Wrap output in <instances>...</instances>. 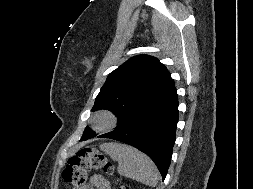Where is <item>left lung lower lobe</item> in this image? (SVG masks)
<instances>
[{"instance_id": "left-lung-lower-lobe-1", "label": "left lung lower lobe", "mask_w": 253, "mask_h": 189, "mask_svg": "<svg viewBox=\"0 0 253 189\" xmlns=\"http://www.w3.org/2000/svg\"><path fill=\"white\" fill-rule=\"evenodd\" d=\"M178 122L175 86L159 100L136 113L115 130L100 135L132 145L146 153L157 165L164 180L170 165ZM83 134L81 140L94 137Z\"/></svg>"}]
</instances>
